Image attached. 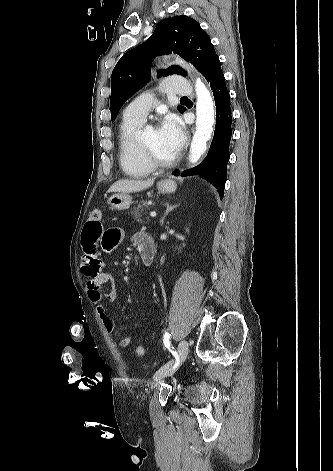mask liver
<instances>
[{
	"instance_id": "6515ba94",
	"label": "liver",
	"mask_w": 333,
	"mask_h": 471,
	"mask_svg": "<svg viewBox=\"0 0 333 471\" xmlns=\"http://www.w3.org/2000/svg\"><path fill=\"white\" fill-rule=\"evenodd\" d=\"M154 178L145 181L141 180H119L115 182L109 189V192L131 193L138 192L151 187Z\"/></svg>"
}]
</instances>
